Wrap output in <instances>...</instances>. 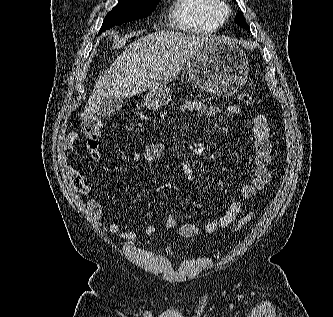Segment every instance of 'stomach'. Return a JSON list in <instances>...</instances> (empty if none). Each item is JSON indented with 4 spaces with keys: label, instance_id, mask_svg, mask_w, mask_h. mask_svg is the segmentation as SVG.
Returning a JSON list of instances; mask_svg holds the SVG:
<instances>
[{
    "label": "stomach",
    "instance_id": "obj_1",
    "mask_svg": "<svg viewBox=\"0 0 333 317\" xmlns=\"http://www.w3.org/2000/svg\"><path fill=\"white\" fill-rule=\"evenodd\" d=\"M190 80L202 90L217 97L237 93L246 83L249 62L243 50L232 40L215 38L205 42L187 61ZM172 96L170 87L162 84L144 98L148 109L166 106Z\"/></svg>",
    "mask_w": 333,
    "mask_h": 317
}]
</instances>
